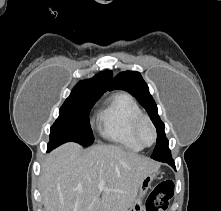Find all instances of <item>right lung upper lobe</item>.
<instances>
[{"mask_svg": "<svg viewBox=\"0 0 221 211\" xmlns=\"http://www.w3.org/2000/svg\"><path fill=\"white\" fill-rule=\"evenodd\" d=\"M108 89H112V72L106 70L91 79H87L78 83L66 101L78 97L101 96Z\"/></svg>", "mask_w": 221, "mask_h": 211, "instance_id": "obj_1", "label": "right lung upper lobe"}]
</instances>
